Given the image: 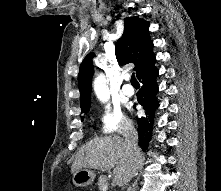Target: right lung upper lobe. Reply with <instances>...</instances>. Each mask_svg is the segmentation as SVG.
Listing matches in <instances>:
<instances>
[{"instance_id": "obj_1", "label": "right lung upper lobe", "mask_w": 221, "mask_h": 191, "mask_svg": "<svg viewBox=\"0 0 221 191\" xmlns=\"http://www.w3.org/2000/svg\"><path fill=\"white\" fill-rule=\"evenodd\" d=\"M148 32V22L138 17H127L123 35L116 43L117 60L121 64L134 63L137 76L156 60ZM92 55L90 53L85 57L78 74L81 112L89 111L91 106Z\"/></svg>"}]
</instances>
